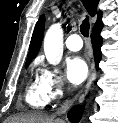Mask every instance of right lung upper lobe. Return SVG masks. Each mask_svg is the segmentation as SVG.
<instances>
[{
    "label": "right lung upper lobe",
    "instance_id": "cb5924a9",
    "mask_svg": "<svg viewBox=\"0 0 118 123\" xmlns=\"http://www.w3.org/2000/svg\"><path fill=\"white\" fill-rule=\"evenodd\" d=\"M82 2L84 7L86 8V10L91 16L98 14L97 21L93 28V32L101 30L103 27L101 22L102 14H101V11L97 13V6L99 3V0H82ZM43 33H44V16H41L38 22L36 23V26L31 38L29 53H28V57L26 61V67L29 65L32 58H34L37 55L39 48L41 46L42 39H43Z\"/></svg>",
    "mask_w": 118,
    "mask_h": 123
}]
</instances>
